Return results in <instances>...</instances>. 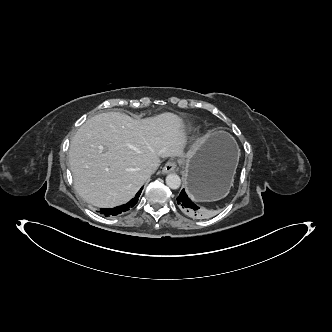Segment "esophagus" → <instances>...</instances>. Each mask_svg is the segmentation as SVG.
I'll list each match as a JSON object with an SVG mask.
<instances>
[{"label":"esophagus","mask_w":332,"mask_h":332,"mask_svg":"<svg viewBox=\"0 0 332 332\" xmlns=\"http://www.w3.org/2000/svg\"><path fill=\"white\" fill-rule=\"evenodd\" d=\"M176 168H177V164H176L175 161H173V160L168 161V162L164 165V167H163V169H162V173H163V174H168V173H170V172L175 171Z\"/></svg>","instance_id":"34e87169"}]
</instances>
